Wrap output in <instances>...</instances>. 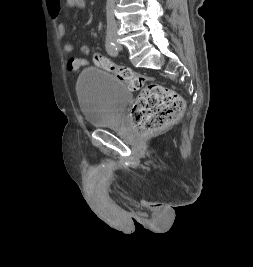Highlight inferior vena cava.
<instances>
[{
  "label": "inferior vena cava",
  "mask_w": 253,
  "mask_h": 267,
  "mask_svg": "<svg viewBox=\"0 0 253 267\" xmlns=\"http://www.w3.org/2000/svg\"><path fill=\"white\" fill-rule=\"evenodd\" d=\"M114 8H115V0H107L106 18H107L108 30H112V28H117L114 18Z\"/></svg>",
  "instance_id": "obj_1"
}]
</instances>
